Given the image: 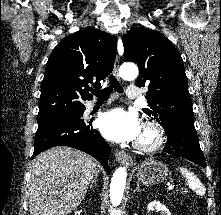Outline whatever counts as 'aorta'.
<instances>
[{"instance_id":"1","label":"aorta","mask_w":221,"mask_h":215,"mask_svg":"<svg viewBox=\"0 0 221 215\" xmlns=\"http://www.w3.org/2000/svg\"><path fill=\"white\" fill-rule=\"evenodd\" d=\"M119 74L124 80H133L138 76V68L133 63H125L119 69ZM127 170L119 167L115 170L110 184V200L113 206L121 203L126 184Z\"/></svg>"}]
</instances>
